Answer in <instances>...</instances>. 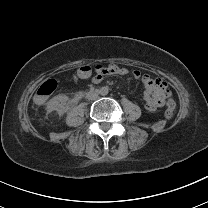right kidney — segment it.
Listing matches in <instances>:
<instances>
[{
	"instance_id": "ca27d5eb",
	"label": "right kidney",
	"mask_w": 208,
	"mask_h": 208,
	"mask_svg": "<svg viewBox=\"0 0 208 208\" xmlns=\"http://www.w3.org/2000/svg\"><path fill=\"white\" fill-rule=\"evenodd\" d=\"M69 97L63 94H59L51 98L47 103V108L50 111L56 110L60 115H63L67 112L68 106L67 102Z\"/></svg>"
}]
</instances>
